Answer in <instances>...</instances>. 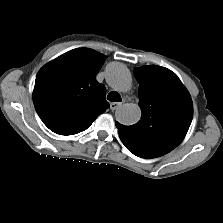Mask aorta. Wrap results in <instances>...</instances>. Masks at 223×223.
Returning a JSON list of instances; mask_svg holds the SVG:
<instances>
[{
    "label": "aorta",
    "instance_id": "762f6f07",
    "mask_svg": "<svg viewBox=\"0 0 223 223\" xmlns=\"http://www.w3.org/2000/svg\"><path fill=\"white\" fill-rule=\"evenodd\" d=\"M107 83L119 92H127L132 85L129 69L120 62H111L106 67ZM116 120L126 126L136 124L141 118V109L137 104H123L115 113Z\"/></svg>",
    "mask_w": 223,
    "mask_h": 223
}]
</instances>
